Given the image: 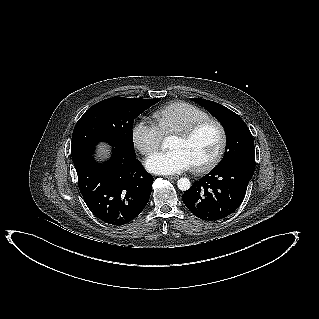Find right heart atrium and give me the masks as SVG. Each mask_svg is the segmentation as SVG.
Instances as JSON below:
<instances>
[{
    "instance_id": "d8ad5b80",
    "label": "right heart atrium",
    "mask_w": 319,
    "mask_h": 319,
    "mask_svg": "<svg viewBox=\"0 0 319 319\" xmlns=\"http://www.w3.org/2000/svg\"><path fill=\"white\" fill-rule=\"evenodd\" d=\"M131 138L137 150L142 155L148 156L157 150L162 135L153 124L139 120L132 127Z\"/></svg>"
}]
</instances>
